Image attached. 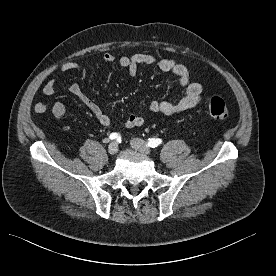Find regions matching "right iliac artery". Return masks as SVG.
<instances>
[{"mask_svg": "<svg viewBox=\"0 0 276 276\" xmlns=\"http://www.w3.org/2000/svg\"><path fill=\"white\" fill-rule=\"evenodd\" d=\"M109 139L110 140H118V141H121V136L119 133H111L110 136H109Z\"/></svg>", "mask_w": 276, "mask_h": 276, "instance_id": "right-iliac-artery-1", "label": "right iliac artery"}]
</instances>
